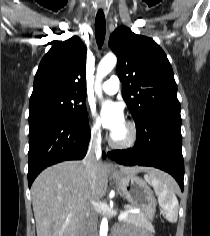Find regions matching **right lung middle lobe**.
<instances>
[{
  "label": "right lung middle lobe",
  "mask_w": 210,
  "mask_h": 236,
  "mask_svg": "<svg viewBox=\"0 0 210 236\" xmlns=\"http://www.w3.org/2000/svg\"><path fill=\"white\" fill-rule=\"evenodd\" d=\"M85 96L51 93L29 102V124L58 118L76 122L88 119Z\"/></svg>",
  "instance_id": "dd1d6c3e"
}]
</instances>
